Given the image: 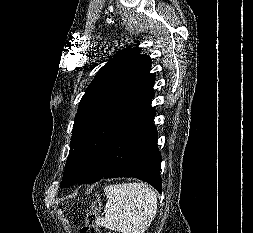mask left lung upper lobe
Returning <instances> with one entry per match:
<instances>
[{"label": "left lung upper lobe", "mask_w": 253, "mask_h": 233, "mask_svg": "<svg viewBox=\"0 0 253 233\" xmlns=\"http://www.w3.org/2000/svg\"><path fill=\"white\" fill-rule=\"evenodd\" d=\"M139 52L134 47L115 54L85 91L61 187L72 186L87 174L116 126L153 86L150 57Z\"/></svg>", "instance_id": "1"}]
</instances>
